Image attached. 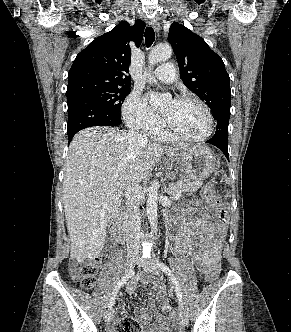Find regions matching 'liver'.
<instances>
[{
    "mask_svg": "<svg viewBox=\"0 0 291 332\" xmlns=\"http://www.w3.org/2000/svg\"><path fill=\"white\" fill-rule=\"evenodd\" d=\"M184 146L133 143L129 132L91 127L72 139L64 166L63 205L70 237V257H97L106 228L118 215L130 176L141 183L160 159Z\"/></svg>",
    "mask_w": 291,
    "mask_h": 332,
    "instance_id": "6515ba94",
    "label": "liver"
}]
</instances>
